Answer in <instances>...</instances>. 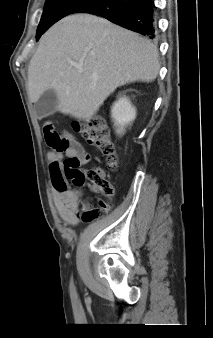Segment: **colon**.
I'll return each instance as SVG.
<instances>
[{"mask_svg":"<svg viewBox=\"0 0 213 338\" xmlns=\"http://www.w3.org/2000/svg\"><path fill=\"white\" fill-rule=\"evenodd\" d=\"M76 126L86 142L107 158L110 167H115L117 157L114 144L104 122L99 118H94L89 121L76 122ZM70 147L69 140L63 138L57 150L64 152ZM50 177L52 185L56 188L72 182L77 187L88 186L93 192L100 193L107 198L114 195V187L105 179L102 168L95 166L90 170H83L75 156L64 158L62 164L52 162L50 164ZM108 210L109 204L101 202L98 207L90 209L84 218L87 221H92L103 216Z\"/></svg>","mask_w":213,"mask_h":338,"instance_id":"5ec220e1","label":"colon"}]
</instances>
